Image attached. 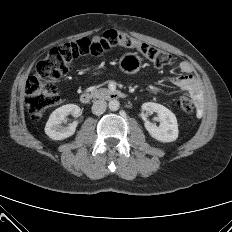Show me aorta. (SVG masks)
<instances>
[{
    "label": "aorta",
    "instance_id": "aorta-1",
    "mask_svg": "<svg viewBox=\"0 0 232 232\" xmlns=\"http://www.w3.org/2000/svg\"><path fill=\"white\" fill-rule=\"evenodd\" d=\"M108 107L111 111H117L120 107V103L118 100L116 99H113V100H110L109 103H108Z\"/></svg>",
    "mask_w": 232,
    "mask_h": 232
}]
</instances>
